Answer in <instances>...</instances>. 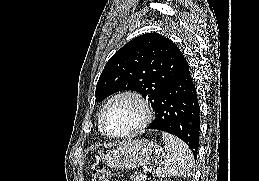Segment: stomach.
Wrapping results in <instances>:
<instances>
[{"instance_id": "1", "label": "stomach", "mask_w": 259, "mask_h": 181, "mask_svg": "<svg viewBox=\"0 0 259 181\" xmlns=\"http://www.w3.org/2000/svg\"><path fill=\"white\" fill-rule=\"evenodd\" d=\"M160 152L159 146L152 141L133 140L109 150L103 160L112 168L131 170L155 161Z\"/></svg>"}]
</instances>
